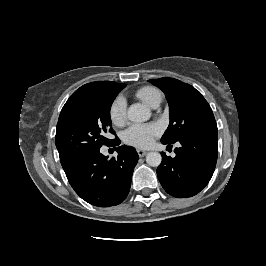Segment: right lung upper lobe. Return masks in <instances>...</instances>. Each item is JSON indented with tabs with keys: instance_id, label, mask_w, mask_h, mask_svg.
<instances>
[{
	"instance_id": "right-lung-upper-lobe-1",
	"label": "right lung upper lobe",
	"mask_w": 266,
	"mask_h": 266,
	"mask_svg": "<svg viewBox=\"0 0 266 266\" xmlns=\"http://www.w3.org/2000/svg\"><path fill=\"white\" fill-rule=\"evenodd\" d=\"M114 84H118L116 82H111V81H96V82H91L88 84L83 85L82 87H80L79 89H77L71 96L70 98L67 100V102L65 103L64 107L62 109H65L66 107H68L70 104L74 103L77 100H80L84 97L89 96L90 94L106 87V86H110V85H114ZM72 164H67V165H63V169L64 171H67Z\"/></svg>"
}]
</instances>
